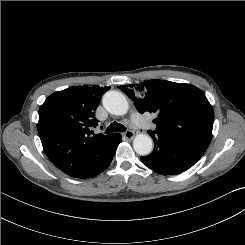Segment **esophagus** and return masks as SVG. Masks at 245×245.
Segmentation results:
<instances>
[{
	"mask_svg": "<svg viewBox=\"0 0 245 245\" xmlns=\"http://www.w3.org/2000/svg\"><path fill=\"white\" fill-rule=\"evenodd\" d=\"M134 135V132L131 130H127L123 133V137L126 139H133Z\"/></svg>",
	"mask_w": 245,
	"mask_h": 245,
	"instance_id": "obj_1",
	"label": "esophagus"
}]
</instances>
